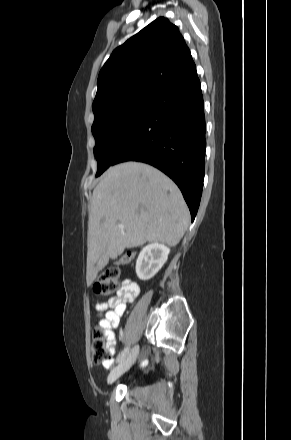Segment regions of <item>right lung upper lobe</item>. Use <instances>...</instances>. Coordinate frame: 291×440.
Returning <instances> with one entry per match:
<instances>
[{"label":"right lung upper lobe","instance_id":"obj_1","mask_svg":"<svg viewBox=\"0 0 291 440\" xmlns=\"http://www.w3.org/2000/svg\"><path fill=\"white\" fill-rule=\"evenodd\" d=\"M195 69L178 27L159 17L112 52L100 70L93 109L139 96L155 97Z\"/></svg>","mask_w":291,"mask_h":440}]
</instances>
